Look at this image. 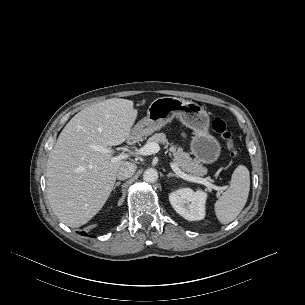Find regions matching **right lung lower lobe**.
I'll list each match as a JSON object with an SVG mask.
<instances>
[{
	"label": "right lung lower lobe",
	"mask_w": 305,
	"mask_h": 305,
	"mask_svg": "<svg viewBox=\"0 0 305 305\" xmlns=\"http://www.w3.org/2000/svg\"><path fill=\"white\" fill-rule=\"evenodd\" d=\"M79 234H80V235H83V236H86V233H85V232H80Z\"/></svg>",
	"instance_id": "right-lung-lower-lobe-1"
}]
</instances>
